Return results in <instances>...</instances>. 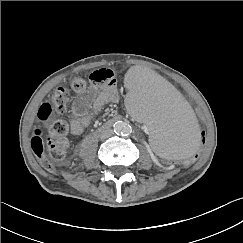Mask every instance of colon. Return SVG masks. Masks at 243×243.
I'll use <instances>...</instances> for the list:
<instances>
[{"label":"colon","mask_w":243,"mask_h":243,"mask_svg":"<svg viewBox=\"0 0 243 243\" xmlns=\"http://www.w3.org/2000/svg\"><path fill=\"white\" fill-rule=\"evenodd\" d=\"M114 79L115 73L112 70L108 68H101L94 71L90 75L89 82L97 83L100 85H108L111 84ZM89 82L85 78L76 77L70 83V90L75 93H82L88 88ZM70 90L66 88H59L55 90L52 93L49 101L43 103L40 107L38 113L39 119L48 120L54 110H63L70 100ZM48 128L51 136L47 141L46 147L42 130L40 128H36L34 129L31 139V148L39 160L41 166L46 171L52 172L55 169L54 161L62 160L69 148V142L66 137L68 132V125L66 122L58 120L50 122L48 124ZM208 138L209 129L203 128L201 142L195 152H192L189 157L180 158L179 160L161 158L160 164L174 167H191L207 149ZM46 148L48 154L46 153Z\"/></svg>","instance_id":"5ec220e1"}]
</instances>
